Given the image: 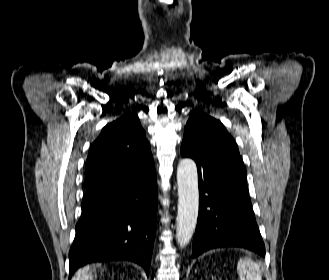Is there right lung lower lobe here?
Listing matches in <instances>:
<instances>
[{
	"instance_id": "98d812e1",
	"label": "right lung lower lobe",
	"mask_w": 329,
	"mask_h": 280,
	"mask_svg": "<svg viewBox=\"0 0 329 280\" xmlns=\"http://www.w3.org/2000/svg\"><path fill=\"white\" fill-rule=\"evenodd\" d=\"M81 208L69 251V279L83 265L111 260L133 261L148 275L156 232L155 170L87 187Z\"/></svg>"
}]
</instances>
